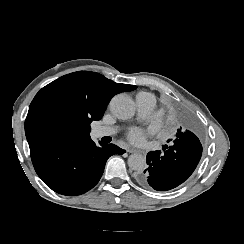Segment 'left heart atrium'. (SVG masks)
<instances>
[{"label": "left heart atrium", "instance_id": "left-heart-atrium-1", "mask_svg": "<svg viewBox=\"0 0 244 244\" xmlns=\"http://www.w3.org/2000/svg\"><path fill=\"white\" fill-rule=\"evenodd\" d=\"M145 136H146V133L144 131H142L140 129H135V130H132L128 134V139L133 144H139L144 141Z\"/></svg>", "mask_w": 244, "mask_h": 244}]
</instances>
